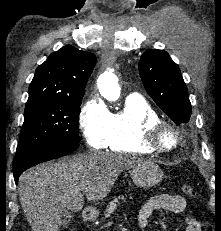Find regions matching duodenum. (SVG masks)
Instances as JSON below:
<instances>
[{
	"label": "duodenum",
	"instance_id": "410a0bca",
	"mask_svg": "<svg viewBox=\"0 0 221 231\" xmlns=\"http://www.w3.org/2000/svg\"><path fill=\"white\" fill-rule=\"evenodd\" d=\"M82 216L85 221L89 222L92 220V211L90 209H84Z\"/></svg>",
	"mask_w": 221,
	"mask_h": 231
}]
</instances>
